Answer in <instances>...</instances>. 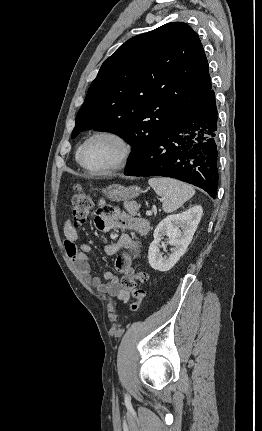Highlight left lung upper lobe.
I'll list each match as a JSON object with an SVG mask.
<instances>
[{"mask_svg": "<svg viewBox=\"0 0 262 431\" xmlns=\"http://www.w3.org/2000/svg\"><path fill=\"white\" fill-rule=\"evenodd\" d=\"M211 90L198 35L182 22L165 24L121 45L102 64L72 131L94 128L131 146L128 168Z\"/></svg>", "mask_w": 262, "mask_h": 431, "instance_id": "obj_1", "label": "left lung upper lobe"}]
</instances>
